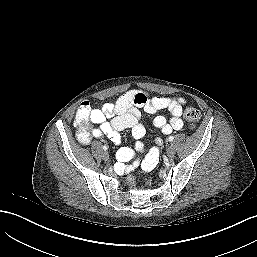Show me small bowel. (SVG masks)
<instances>
[{"mask_svg": "<svg viewBox=\"0 0 257 257\" xmlns=\"http://www.w3.org/2000/svg\"><path fill=\"white\" fill-rule=\"evenodd\" d=\"M186 103L182 97H149L144 91L132 89L123 94L116 104H106L101 109H91L88 122L96 124L97 127L88 130L87 124L79 123V110L75 116L77 126V138L82 144H89L93 138H101L106 135L110 140L119 144L121 141L120 131L131 129L136 140H140L146 133L144 125L140 122V110L154 114L161 110L169 112L167 118L158 115L153 119V126L159 129L162 135L166 136L173 131L181 130L183 120L181 118L183 106ZM161 141L157 140V145ZM144 144L141 141L136 143V150L141 151ZM158 148L152 147L143 159H139L135 152L128 148H121L117 152V157L121 162L132 161L133 166L140 165L142 169L148 171L154 168L158 160ZM119 168L122 170L123 166Z\"/></svg>", "mask_w": 257, "mask_h": 257, "instance_id": "c3829d8e", "label": "small bowel"}]
</instances>
